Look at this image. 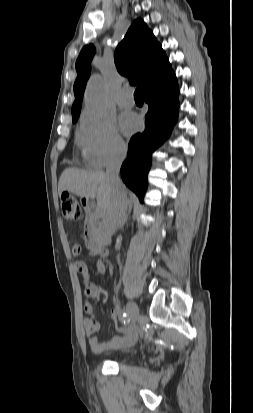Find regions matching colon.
Returning <instances> with one entry per match:
<instances>
[{
    "label": "colon",
    "mask_w": 253,
    "mask_h": 413,
    "mask_svg": "<svg viewBox=\"0 0 253 413\" xmlns=\"http://www.w3.org/2000/svg\"><path fill=\"white\" fill-rule=\"evenodd\" d=\"M61 210L62 216L66 220H77L81 217V209L76 199L68 193L62 195ZM91 294L93 298L97 297V292Z\"/></svg>",
    "instance_id": "1"
}]
</instances>
